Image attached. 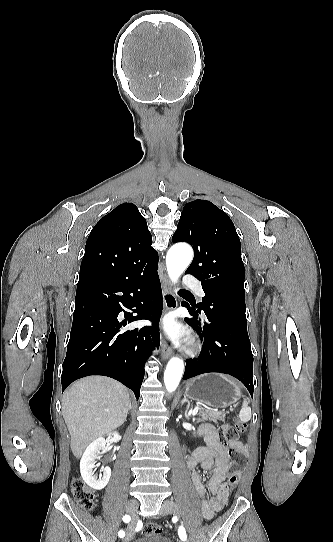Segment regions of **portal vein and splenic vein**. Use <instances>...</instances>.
<instances>
[{"mask_svg":"<svg viewBox=\"0 0 333 542\" xmlns=\"http://www.w3.org/2000/svg\"><path fill=\"white\" fill-rule=\"evenodd\" d=\"M198 410H199V408H194V410H193V412H192V416H196Z\"/></svg>","mask_w":333,"mask_h":542,"instance_id":"18ae733b","label":"portal vein and splenic vein"}]
</instances>
